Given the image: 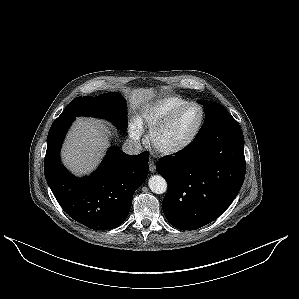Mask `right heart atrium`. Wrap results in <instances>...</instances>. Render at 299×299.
<instances>
[{
    "instance_id": "obj_1",
    "label": "right heart atrium",
    "mask_w": 299,
    "mask_h": 299,
    "mask_svg": "<svg viewBox=\"0 0 299 299\" xmlns=\"http://www.w3.org/2000/svg\"><path fill=\"white\" fill-rule=\"evenodd\" d=\"M129 134L133 140L139 141L142 136L141 125L138 122L132 123L129 129Z\"/></svg>"
}]
</instances>
